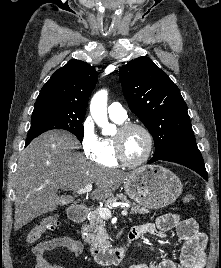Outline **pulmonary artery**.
<instances>
[{
    "label": "pulmonary artery",
    "instance_id": "1",
    "mask_svg": "<svg viewBox=\"0 0 221 268\" xmlns=\"http://www.w3.org/2000/svg\"><path fill=\"white\" fill-rule=\"evenodd\" d=\"M108 114L111 119L123 122L127 118V112L118 102H113L108 107Z\"/></svg>",
    "mask_w": 221,
    "mask_h": 268
}]
</instances>
